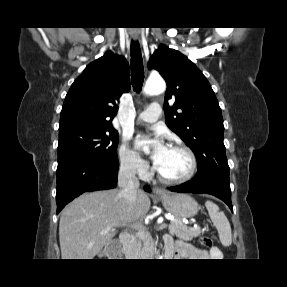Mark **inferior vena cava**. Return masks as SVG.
Here are the masks:
<instances>
[{
	"label": "inferior vena cava",
	"mask_w": 287,
	"mask_h": 287,
	"mask_svg": "<svg viewBox=\"0 0 287 287\" xmlns=\"http://www.w3.org/2000/svg\"><path fill=\"white\" fill-rule=\"evenodd\" d=\"M139 185L134 165L130 162L121 163L118 173V186L129 204L136 203Z\"/></svg>",
	"instance_id": "obj_1"
}]
</instances>
